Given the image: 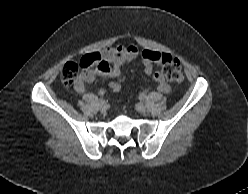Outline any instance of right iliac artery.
I'll use <instances>...</instances> for the list:
<instances>
[{"label": "right iliac artery", "mask_w": 248, "mask_h": 194, "mask_svg": "<svg viewBox=\"0 0 248 194\" xmlns=\"http://www.w3.org/2000/svg\"><path fill=\"white\" fill-rule=\"evenodd\" d=\"M100 94H102V93L100 92ZM100 101H103V99L100 98V99H99V102H100Z\"/></svg>", "instance_id": "obj_1"}]
</instances>
